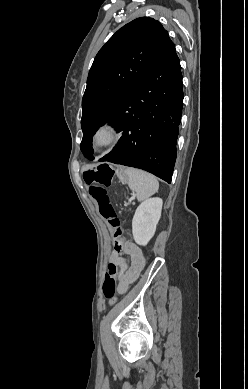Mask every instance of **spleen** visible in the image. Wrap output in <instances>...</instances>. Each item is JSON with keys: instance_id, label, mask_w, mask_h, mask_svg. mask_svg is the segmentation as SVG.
I'll return each instance as SVG.
<instances>
[{"instance_id": "1", "label": "spleen", "mask_w": 248, "mask_h": 389, "mask_svg": "<svg viewBox=\"0 0 248 389\" xmlns=\"http://www.w3.org/2000/svg\"><path fill=\"white\" fill-rule=\"evenodd\" d=\"M124 175L127 177L129 188L136 192L138 201L146 200L158 191V180L146 171L126 168Z\"/></svg>"}]
</instances>
